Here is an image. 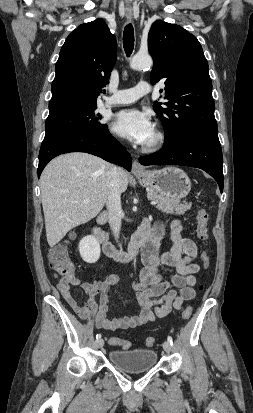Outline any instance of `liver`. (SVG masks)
I'll return each mask as SVG.
<instances>
[{
  "label": "liver",
  "mask_w": 253,
  "mask_h": 413,
  "mask_svg": "<svg viewBox=\"0 0 253 413\" xmlns=\"http://www.w3.org/2000/svg\"><path fill=\"white\" fill-rule=\"evenodd\" d=\"M110 167L97 156L73 152L56 157L44 168L40 188L50 247H54L71 229L95 218L103 209L109 194ZM127 186L128 174L120 168L121 193Z\"/></svg>",
  "instance_id": "obj_1"
}]
</instances>
